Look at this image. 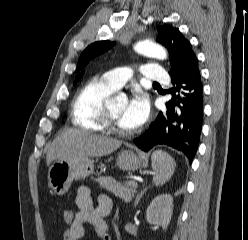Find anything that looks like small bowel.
Masks as SVG:
<instances>
[{
	"label": "small bowel",
	"mask_w": 248,
	"mask_h": 240,
	"mask_svg": "<svg viewBox=\"0 0 248 240\" xmlns=\"http://www.w3.org/2000/svg\"><path fill=\"white\" fill-rule=\"evenodd\" d=\"M76 205L78 207L72 222L66 226L62 240H79L83 237L84 224L92 226L94 232L101 240H110L109 236L99 230L100 224L106 225V219L110 216L113 203L109 196L98 195L94 206L91 191L87 186H80L76 192Z\"/></svg>",
	"instance_id": "1"
}]
</instances>
